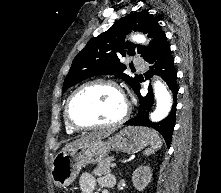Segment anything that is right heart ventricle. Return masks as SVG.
Returning <instances> with one entry per match:
<instances>
[{
	"instance_id": "obj_1",
	"label": "right heart ventricle",
	"mask_w": 221,
	"mask_h": 193,
	"mask_svg": "<svg viewBox=\"0 0 221 193\" xmlns=\"http://www.w3.org/2000/svg\"><path fill=\"white\" fill-rule=\"evenodd\" d=\"M66 131H67L69 134H74V133L77 132V130L74 129V128H72V127L68 124L67 121H66Z\"/></svg>"
}]
</instances>
